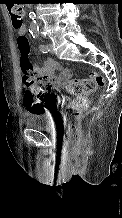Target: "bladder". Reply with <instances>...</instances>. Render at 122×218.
I'll return each instance as SVG.
<instances>
[{
    "mask_svg": "<svg viewBox=\"0 0 122 218\" xmlns=\"http://www.w3.org/2000/svg\"><path fill=\"white\" fill-rule=\"evenodd\" d=\"M24 124L33 128L46 129L50 121L44 112H30L25 115Z\"/></svg>",
    "mask_w": 122,
    "mask_h": 218,
    "instance_id": "obj_1",
    "label": "bladder"
}]
</instances>
